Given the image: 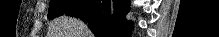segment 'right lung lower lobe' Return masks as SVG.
Returning <instances> with one entry per match:
<instances>
[{"label":"right lung lower lobe","mask_w":219,"mask_h":37,"mask_svg":"<svg viewBox=\"0 0 219 37\" xmlns=\"http://www.w3.org/2000/svg\"><path fill=\"white\" fill-rule=\"evenodd\" d=\"M130 0H83L66 15L80 17L96 37H128L132 24L125 15Z\"/></svg>","instance_id":"98d812e1"}]
</instances>
